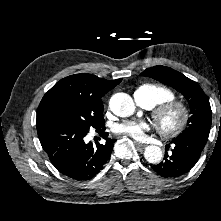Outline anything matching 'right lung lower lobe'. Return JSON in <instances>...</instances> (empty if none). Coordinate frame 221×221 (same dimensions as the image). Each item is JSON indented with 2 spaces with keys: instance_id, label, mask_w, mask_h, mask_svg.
Returning <instances> with one entry per match:
<instances>
[{
  "instance_id": "98d812e1",
  "label": "right lung lower lobe",
  "mask_w": 221,
  "mask_h": 221,
  "mask_svg": "<svg viewBox=\"0 0 221 221\" xmlns=\"http://www.w3.org/2000/svg\"><path fill=\"white\" fill-rule=\"evenodd\" d=\"M40 143L51 163L63 175L75 180H88L95 176L109 159L115 139L107 138L105 144L85 143L87 132L51 118H37Z\"/></svg>"
}]
</instances>
